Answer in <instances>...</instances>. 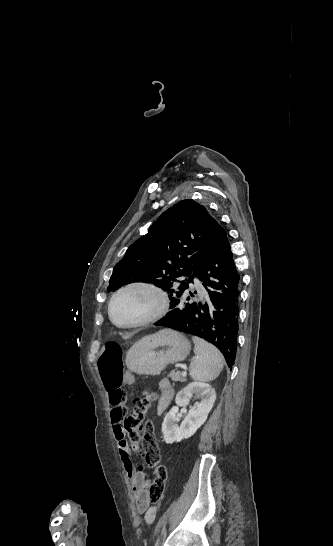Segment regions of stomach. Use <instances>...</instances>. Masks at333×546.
I'll return each mask as SVG.
<instances>
[{"label":"stomach","instance_id":"stomach-1","mask_svg":"<svg viewBox=\"0 0 333 546\" xmlns=\"http://www.w3.org/2000/svg\"><path fill=\"white\" fill-rule=\"evenodd\" d=\"M191 350L189 340L171 329L146 335L129 349L125 363L137 374L156 376L168 364L185 360Z\"/></svg>","mask_w":333,"mask_h":546}]
</instances>
